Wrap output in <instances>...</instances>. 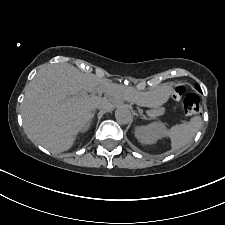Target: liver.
I'll return each mask as SVG.
<instances>
[{
	"label": "liver",
	"mask_w": 225,
	"mask_h": 225,
	"mask_svg": "<svg viewBox=\"0 0 225 225\" xmlns=\"http://www.w3.org/2000/svg\"><path fill=\"white\" fill-rule=\"evenodd\" d=\"M81 91H99V95L105 93L107 97H77ZM143 98V93L83 73L71 64L47 65L40 68L25 87L24 131L33 143L52 153H62L74 145L77 134L91 120L96 105L109 109L111 102L124 100L145 106Z\"/></svg>",
	"instance_id": "liver-1"
}]
</instances>
